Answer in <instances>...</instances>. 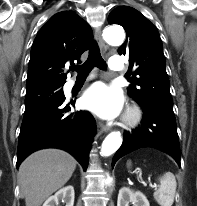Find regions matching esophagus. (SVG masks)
Returning a JSON list of instances; mask_svg holds the SVG:
<instances>
[{"label": "esophagus", "mask_w": 197, "mask_h": 206, "mask_svg": "<svg viewBox=\"0 0 197 206\" xmlns=\"http://www.w3.org/2000/svg\"><path fill=\"white\" fill-rule=\"evenodd\" d=\"M95 38H96V40H97V42H98V44L100 46L101 51L103 53H105L107 51V45L105 44V42H104V40L102 38L100 30L96 31ZM99 126H100L101 130L104 131V132H107V131L110 130V127L104 125L103 123H100Z\"/></svg>", "instance_id": "esophagus-1"}]
</instances>
